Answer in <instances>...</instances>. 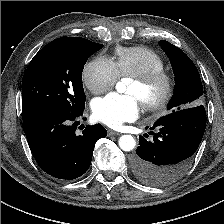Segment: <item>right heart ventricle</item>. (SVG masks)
Segmentation results:
<instances>
[{"mask_svg": "<svg viewBox=\"0 0 224 224\" xmlns=\"http://www.w3.org/2000/svg\"><path fill=\"white\" fill-rule=\"evenodd\" d=\"M113 62L122 77L141 76L165 67V61L160 55L139 46L117 48Z\"/></svg>", "mask_w": 224, "mask_h": 224, "instance_id": "e07e8e85", "label": "right heart ventricle"}]
</instances>
